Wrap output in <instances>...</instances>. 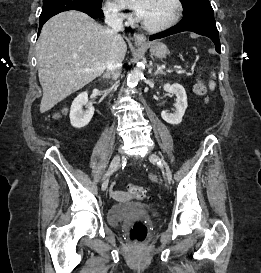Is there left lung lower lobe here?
<instances>
[{
  "label": "left lung lower lobe",
  "mask_w": 261,
  "mask_h": 273,
  "mask_svg": "<svg viewBox=\"0 0 261 273\" xmlns=\"http://www.w3.org/2000/svg\"><path fill=\"white\" fill-rule=\"evenodd\" d=\"M183 31H192L207 36L214 42L216 51L221 53L214 12L208 0L196 2L190 7L185 8L183 19L179 24L166 31L150 36V40L160 39Z\"/></svg>",
  "instance_id": "left-lung-lower-lobe-1"
}]
</instances>
